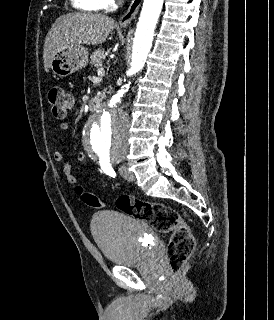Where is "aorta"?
I'll return each mask as SVG.
<instances>
[{"label": "aorta", "instance_id": "obj_1", "mask_svg": "<svg viewBox=\"0 0 274 320\" xmlns=\"http://www.w3.org/2000/svg\"><path fill=\"white\" fill-rule=\"evenodd\" d=\"M162 6L163 0H144L133 40L129 75H135L144 67ZM128 89L129 84L122 86L112 96L108 108L91 119L86 126L83 141L85 151L91 159L99 160L107 157L111 160H120L126 155L129 118L119 107V103Z\"/></svg>", "mask_w": 274, "mask_h": 320}]
</instances>
